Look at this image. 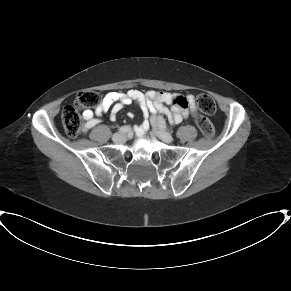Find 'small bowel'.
<instances>
[{
  "label": "small bowel",
  "instance_id": "small-bowel-1",
  "mask_svg": "<svg viewBox=\"0 0 291 291\" xmlns=\"http://www.w3.org/2000/svg\"><path fill=\"white\" fill-rule=\"evenodd\" d=\"M130 103H136L142 110L152 114L157 112L170 116L174 123H179L184 117L197 112L196 101L193 95H179L168 92L138 90L123 92H109L95 111L87 109L83 112L85 120L84 130L88 131L99 124L98 117L102 113H110L111 120H115L120 110ZM165 104H172L168 109ZM145 128V125L143 126Z\"/></svg>",
  "mask_w": 291,
  "mask_h": 291
}]
</instances>
